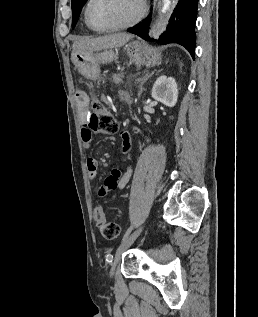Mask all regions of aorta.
<instances>
[{"label":"aorta","instance_id":"aorta-1","mask_svg":"<svg viewBox=\"0 0 258 317\" xmlns=\"http://www.w3.org/2000/svg\"><path fill=\"white\" fill-rule=\"evenodd\" d=\"M171 5V0H163V6H162V12L165 14ZM162 19L161 21L158 23V27L161 25Z\"/></svg>","mask_w":258,"mask_h":317}]
</instances>
